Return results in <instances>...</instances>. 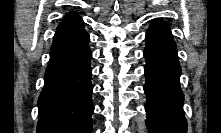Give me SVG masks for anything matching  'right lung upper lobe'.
<instances>
[{
    "label": "right lung upper lobe",
    "instance_id": "right-lung-upper-lobe-1",
    "mask_svg": "<svg viewBox=\"0 0 221 133\" xmlns=\"http://www.w3.org/2000/svg\"><path fill=\"white\" fill-rule=\"evenodd\" d=\"M85 34L86 31L83 27V21L81 17H79L76 13L71 12L57 27L53 41H73L83 37Z\"/></svg>",
    "mask_w": 221,
    "mask_h": 133
}]
</instances>
